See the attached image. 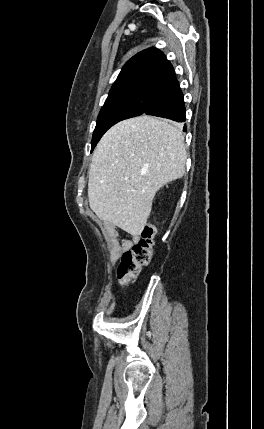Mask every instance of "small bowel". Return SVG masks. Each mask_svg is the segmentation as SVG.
Instances as JSON below:
<instances>
[{
	"instance_id": "c3829d8e",
	"label": "small bowel",
	"mask_w": 264,
	"mask_h": 429,
	"mask_svg": "<svg viewBox=\"0 0 264 429\" xmlns=\"http://www.w3.org/2000/svg\"><path fill=\"white\" fill-rule=\"evenodd\" d=\"M128 234L129 238H122L115 227L106 229V241L113 260L117 259L122 252L131 249L139 241L138 234L131 232Z\"/></svg>"
}]
</instances>
